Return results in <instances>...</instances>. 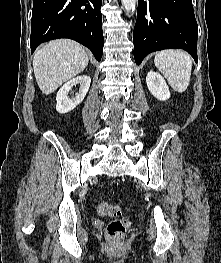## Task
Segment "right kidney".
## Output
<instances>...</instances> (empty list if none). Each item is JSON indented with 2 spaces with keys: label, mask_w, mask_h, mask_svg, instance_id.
Returning a JSON list of instances; mask_svg holds the SVG:
<instances>
[{
  "label": "right kidney",
  "mask_w": 221,
  "mask_h": 263,
  "mask_svg": "<svg viewBox=\"0 0 221 263\" xmlns=\"http://www.w3.org/2000/svg\"><path fill=\"white\" fill-rule=\"evenodd\" d=\"M91 79L87 75L78 76L71 79L65 83L58 91L56 96V110L57 112L63 114L73 110L77 105H79L85 98L89 87ZM77 84L80 85L79 92L76 93L75 97H69V91L73 86Z\"/></svg>",
  "instance_id": "1"
}]
</instances>
